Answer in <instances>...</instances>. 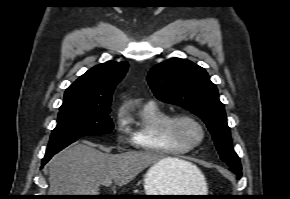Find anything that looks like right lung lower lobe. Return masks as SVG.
Here are the masks:
<instances>
[{
	"mask_svg": "<svg viewBox=\"0 0 290 199\" xmlns=\"http://www.w3.org/2000/svg\"><path fill=\"white\" fill-rule=\"evenodd\" d=\"M53 155L45 156L42 159V167L52 158Z\"/></svg>",
	"mask_w": 290,
	"mask_h": 199,
	"instance_id": "obj_1",
	"label": "right lung lower lobe"
}]
</instances>
